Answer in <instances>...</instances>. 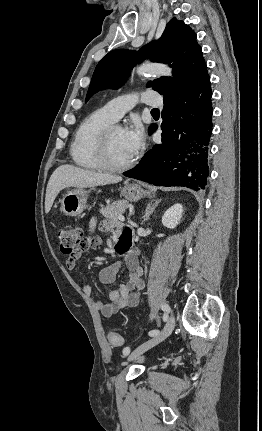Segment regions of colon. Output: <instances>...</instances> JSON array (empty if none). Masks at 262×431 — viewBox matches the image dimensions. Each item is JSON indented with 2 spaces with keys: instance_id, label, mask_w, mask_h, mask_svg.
I'll use <instances>...</instances> for the list:
<instances>
[{
  "instance_id": "1",
  "label": "colon",
  "mask_w": 262,
  "mask_h": 431,
  "mask_svg": "<svg viewBox=\"0 0 262 431\" xmlns=\"http://www.w3.org/2000/svg\"><path fill=\"white\" fill-rule=\"evenodd\" d=\"M59 246L61 252L68 257L78 256L93 246L99 244V238L93 235H86L83 229L78 226H64L60 229ZM108 342L113 346L122 344V337L118 332L108 333Z\"/></svg>"
}]
</instances>
